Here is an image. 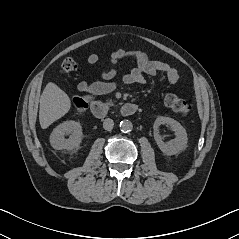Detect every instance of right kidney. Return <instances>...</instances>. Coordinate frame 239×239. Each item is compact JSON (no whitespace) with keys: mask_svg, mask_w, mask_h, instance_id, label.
I'll use <instances>...</instances> for the list:
<instances>
[{"mask_svg":"<svg viewBox=\"0 0 239 239\" xmlns=\"http://www.w3.org/2000/svg\"><path fill=\"white\" fill-rule=\"evenodd\" d=\"M70 134L68 139L65 135ZM83 133L79 122L65 121L53 129L50 135V143L54 149H73L80 145Z\"/></svg>","mask_w":239,"mask_h":239,"instance_id":"right-kidney-1","label":"right kidney"}]
</instances>
